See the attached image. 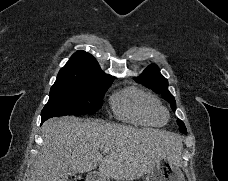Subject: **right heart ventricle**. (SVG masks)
<instances>
[{"mask_svg":"<svg viewBox=\"0 0 228 181\" xmlns=\"http://www.w3.org/2000/svg\"><path fill=\"white\" fill-rule=\"evenodd\" d=\"M114 108L120 119L160 125L166 119L164 108L153 97L137 89H128L114 97Z\"/></svg>","mask_w":228,"mask_h":181,"instance_id":"right-heart-ventricle-1","label":"right heart ventricle"}]
</instances>
